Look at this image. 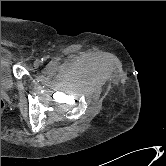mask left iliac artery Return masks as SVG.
<instances>
[{
	"mask_svg": "<svg viewBox=\"0 0 166 166\" xmlns=\"http://www.w3.org/2000/svg\"><path fill=\"white\" fill-rule=\"evenodd\" d=\"M41 60H42V61H46V60H47V57H43Z\"/></svg>",
	"mask_w": 166,
	"mask_h": 166,
	"instance_id": "left-iliac-artery-1",
	"label": "left iliac artery"
}]
</instances>
